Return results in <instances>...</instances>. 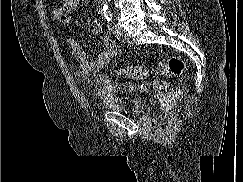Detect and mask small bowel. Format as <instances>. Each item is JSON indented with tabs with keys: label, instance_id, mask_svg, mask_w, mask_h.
<instances>
[{
	"label": "small bowel",
	"instance_id": "c3829d8e",
	"mask_svg": "<svg viewBox=\"0 0 243 182\" xmlns=\"http://www.w3.org/2000/svg\"><path fill=\"white\" fill-rule=\"evenodd\" d=\"M80 0H63L62 7L53 11L54 18L64 24L69 25L72 21L70 12L75 10ZM92 33L96 36L102 33V24L98 19H94L91 25ZM105 49L99 52L95 59L91 60L88 56V43L78 41L75 38H68V44L73 55L79 62L80 75L91 85L95 86V93L98 96H106L114 93L116 87L111 80L102 74L109 62L120 53V47L108 37H102ZM130 86L125 85V88Z\"/></svg>",
	"mask_w": 243,
	"mask_h": 182
}]
</instances>
